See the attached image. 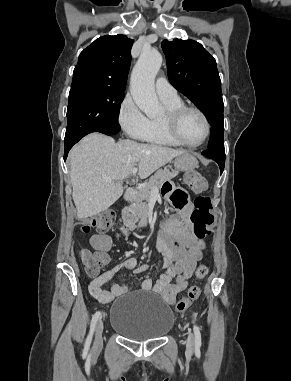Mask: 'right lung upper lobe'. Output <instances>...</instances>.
<instances>
[{
	"instance_id": "obj_1",
	"label": "right lung upper lobe",
	"mask_w": 291,
	"mask_h": 381,
	"mask_svg": "<svg viewBox=\"0 0 291 381\" xmlns=\"http://www.w3.org/2000/svg\"><path fill=\"white\" fill-rule=\"evenodd\" d=\"M133 42L120 34L96 39L80 53L73 72L72 87L125 89Z\"/></svg>"
}]
</instances>
